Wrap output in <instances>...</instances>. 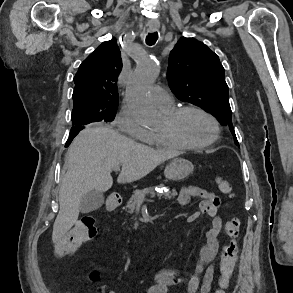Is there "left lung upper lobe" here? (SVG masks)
Returning a JSON list of instances; mask_svg holds the SVG:
<instances>
[{"mask_svg":"<svg viewBox=\"0 0 293 293\" xmlns=\"http://www.w3.org/2000/svg\"><path fill=\"white\" fill-rule=\"evenodd\" d=\"M168 85L181 100L211 113L222 125L232 126L228 86L219 57L194 38H181L169 56Z\"/></svg>","mask_w":293,"mask_h":293,"instance_id":"1","label":"left lung upper lobe"}]
</instances>
